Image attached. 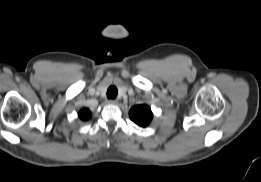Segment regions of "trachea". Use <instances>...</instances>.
I'll return each mask as SVG.
<instances>
[{"instance_id":"obj_1","label":"trachea","mask_w":261,"mask_h":182,"mask_svg":"<svg viewBox=\"0 0 261 182\" xmlns=\"http://www.w3.org/2000/svg\"><path fill=\"white\" fill-rule=\"evenodd\" d=\"M118 90L115 86H110L107 90V97L109 99H115L117 97Z\"/></svg>"}]
</instances>
